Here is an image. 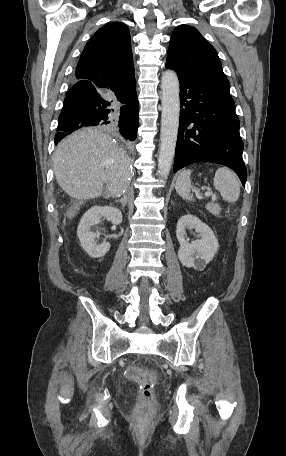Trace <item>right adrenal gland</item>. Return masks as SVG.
Wrapping results in <instances>:
<instances>
[{
  "label": "right adrenal gland",
  "instance_id": "1",
  "mask_svg": "<svg viewBox=\"0 0 286 456\" xmlns=\"http://www.w3.org/2000/svg\"><path fill=\"white\" fill-rule=\"evenodd\" d=\"M119 202L121 203V207L124 208L128 203V197L124 195V197L120 199Z\"/></svg>",
  "mask_w": 286,
  "mask_h": 456
}]
</instances>
